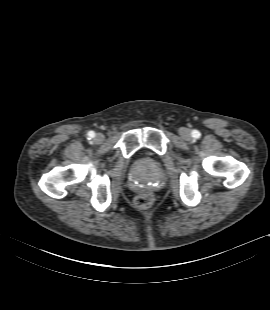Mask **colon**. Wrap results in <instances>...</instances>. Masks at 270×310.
<instances>
[{"label": "colon", "instance_id": "5ec220e1", "mask_svg": "<svg viewBox=\"0 0 270 310\" xmlns=\"http://www.w3.org/2000/svg\"><path fill=\"white\" fill-rule=\"evenodd\" d=\"M154 199L153 193L145 192L135 198V205L140 209H147L153 204Z\"/></svg>", "mask_w": 270, "mask_h": 310}]
</instances>
